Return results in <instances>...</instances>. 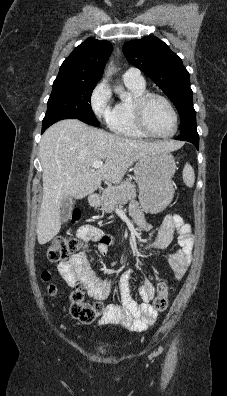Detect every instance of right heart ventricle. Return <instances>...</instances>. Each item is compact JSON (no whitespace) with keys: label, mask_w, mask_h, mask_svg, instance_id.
Masks as SVG:
<instances>
[{"label":"right heart ventricle","mask_w":227,"mask_h":396,"mask_svg":"<svg viewBox=\"0 0 227 396\" xmlns=\"http://www.w3.org/2000/svg\"><path fill=\"white\" fill-rule=\"evenodd\" d=\"M125 86L131 93L129 99L119 100L111 109L107 119L108 128L115 134L130 138H146V135L136 124L133 102L146 92L145 83L124 81Z\"/></svg>","instance_id":"right-heart-ventricle-1"}]
</instances>
